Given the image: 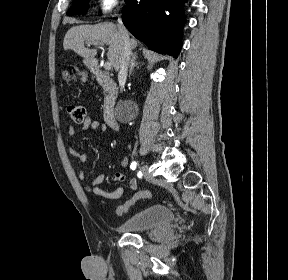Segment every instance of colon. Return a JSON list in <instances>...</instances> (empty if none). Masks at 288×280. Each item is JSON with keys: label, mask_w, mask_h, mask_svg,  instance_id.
I'll return each mask as SVG.
<instances>
[{"label": "colon", "mask_w": 288, "mask_h": 280, "mask_svg": "<svg viewBox=\"0 0 288 280\" xmlns=\"http://www.w3.org/2000/svg\"><path fill=\"white\" fill-rule=\"evenodd\" d=\"M79 76L82 80H85V73H79ZM68 114L70 118L75 123H82L85 119L86 110L82 105L71 104L67 108ZM150 198V193L148 191H140L136 195H134L131 199L126 201L125 203L119 205L116 208V214L118 216L124 215L137 201L139 200H147Z\"/></svg>", "instance_id": "obj_1"}]
</instances>
